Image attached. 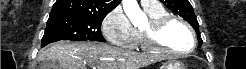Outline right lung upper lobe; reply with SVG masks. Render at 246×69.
<instances>
[{
    "label": "right lung upper lobe",
    "instance_id": "cb5924a9",
    "mask_svg": "<svg viewBox=\"0 0 246 69\" xmlns=\"http://www.w3.org/2000/svg\"><path fill=\"white\" fill-rule=\"evenodd\" d=\"M121 0H57L49 18L106 16Z\"/></svg>",
    "mask_w": 246,
    "mask_h": 69
}]
</instances>
